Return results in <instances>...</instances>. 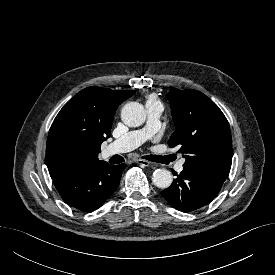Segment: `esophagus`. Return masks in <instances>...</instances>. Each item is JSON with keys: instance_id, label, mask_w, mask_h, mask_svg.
Listing matches in <instances>:
<instances>
[{"instance_id": "obj_1", "label": "esophagus", "mask_w": 275, "mask_h": 275, "mask_svg": "<svg viewBox=\"0 0 275 275\" xmlns=\"http://www.w3.org/2000/svg\"><path fill=\"white\" fill-rule=\"evenodd\" d=\"M137 163L140 164V165H142V166H145V167H147V166L150 165V162L147 161V160H144V159H138Z\"/></svg>"}]
</instances>
